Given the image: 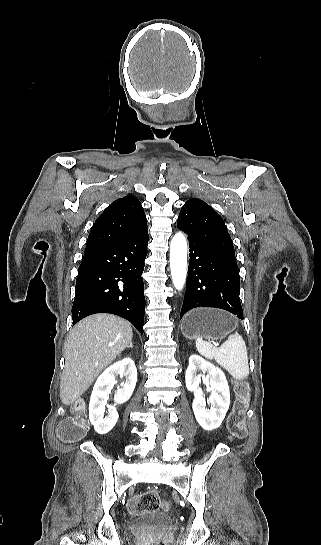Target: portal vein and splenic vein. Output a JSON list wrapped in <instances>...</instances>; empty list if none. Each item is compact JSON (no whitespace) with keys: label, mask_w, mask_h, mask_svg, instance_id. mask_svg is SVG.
Returning a JSON list of instances; mask_svg holds the SVG:
<instances>
[{"label":"portal vein and splenic vein","mask_w":321,"mask_h":545,"mask_svg":"<svg viewBox=\"0 0 321 545\" xmlns=\"http://www.w3.org/2000/svg\"><path fill=\"white\" fill-rule=\"evenodd\" d=\"M220 346H221L220 341H219L218 339H215V340L213 341V346H212L213 349L216 350V349H218Z\"/></svg>","instance_id":"1"}]
</instances>
